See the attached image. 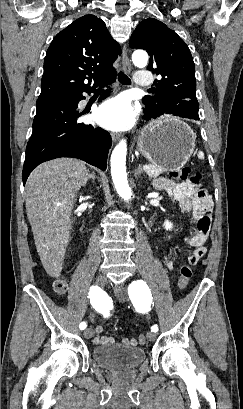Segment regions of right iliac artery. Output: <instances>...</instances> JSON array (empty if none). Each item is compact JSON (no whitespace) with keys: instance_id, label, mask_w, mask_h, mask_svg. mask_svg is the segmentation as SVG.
Returning <instances> with one entry per match:
<instances>
[{"instance_id":"obj_1","label":"right iliac artery","mask_w":243,"mask_h":409,"mask_svg":"<svg viewBox=\"0 0 243 409\" xmlns=\"http://www.w3.org/2000/svg\"><path fill=\"white\" fill-rule=\"evenodd\" d=\"M88 297L90 298V302L93 305V307L100 313H103L105 310V306H104V297H103L101 289L97 286H92L90 288ZM86 327H87L86 322H82L79 325V328L81 330H84Z\"/></svg>"}]
</instances>
